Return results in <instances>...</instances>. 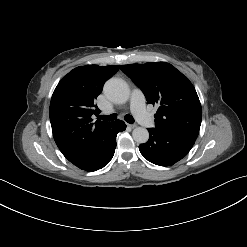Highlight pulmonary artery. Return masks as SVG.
<instances>
[{"label": "pulmonary artery", "instance_id": "obj_1", "mask_svg": "<svg viewBox=\"0 0 247 247\" xmlns=\"http://www.w3.org/2000/svg\"><path fill=\"white\" fill-rule=\"evenodd\" d=\"M130 110L137 121L145 128L155 126L154 118L145 110V98L140 90H134L130 98Z\"/></svg>", "mask_w": 247, "mask_h": 247}]
</instances>
